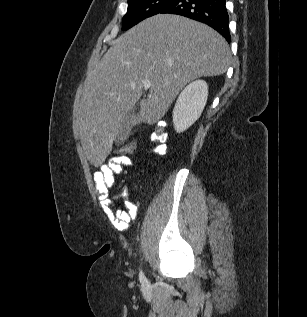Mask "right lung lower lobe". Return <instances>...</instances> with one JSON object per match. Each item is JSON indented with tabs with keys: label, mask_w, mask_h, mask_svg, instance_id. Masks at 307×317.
<instances>
[{
	"label": "right lung lower lobe",
	"mask_w": 307,
	"mask_h": 317,
	"mask_svg": "<svg viewBox=\"0 0 307 317\" xmlns=\"http://www.w3.org/2000/svg\"><path fill=\"white\" fill-rule=\"evenodd\" d=\"M225 3L226 0H173L161 14L182 15L203 22L230 43L229 16Z\"/></svg>",
	"instance_id": "obj_1"
}]
</instances>
